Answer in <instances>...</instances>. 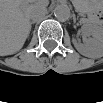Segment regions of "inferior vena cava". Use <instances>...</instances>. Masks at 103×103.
Masks as SVG:
<instances>
[{
  "instance_id": "1",
  "label": "inferior vena cava",
  "mask_w": 103,
  "mask_h": 103,
  "mask_svg": "<svg viewBox=\"0 0 103 103\" xmlns=\"http://www.w3.org/2000/svg\"><path fill=\"white\" fill-rule=\"evenodd\" d=\"M45 13H46L45 7L44 8H36L31 11L30 18L34 21L40 20L44 17Z\"/></svg>"
}]
</instances>
